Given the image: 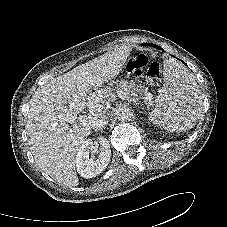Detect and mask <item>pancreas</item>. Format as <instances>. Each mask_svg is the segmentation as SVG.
Instances as JSON below:
<instances>
[{"label":"pancreas","mask_w":227,"mask_h":227,"mask_svg":"<svg viewBox=\"0 0 227 227\" xmlns=\"http://www.w3.org/2000/svg\"><path fill=\"white\" fill-rule=\"evenodd\" d=\"M117 92L124 94L125 98L128 100L138 99L139 96L143 95V91L139 86H136L134 83H129L127 81H120ZM144 96H147V93H144Z\"/></svg>","instance_id":"cf45deb5"}]
</instances>
